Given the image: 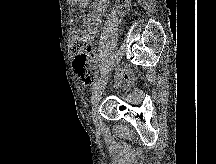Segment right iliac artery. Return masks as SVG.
Listing matches in <instances>:
<instances>
[{
	"label": "right iliac artery",
	"mask_w": 216,
	"mask_h": 164,
	"mask_svg": "<svg viewBox=\"0 0 216 164\" xmlns=\"http://www.w3.org/2000/svg\"><path fill=\"white\" fill-rule=\"evenodd\" d=\"M104 78L101 76L98 81L94 84L93 88H92V94L95 93V91L98 89V87L100 86V83L101 81L103 80Z\"/></svg>",
	"instance_id": "obj_1"
}]
</instances>
